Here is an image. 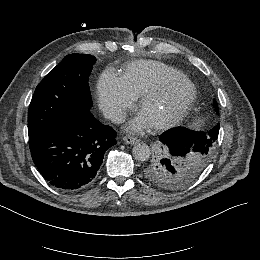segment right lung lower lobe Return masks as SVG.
Returning a JSON list of instances; mask_svg holds the SVG:
<instances>
[{"label":"right lung lower lobe","mask_w":260,"mask_h":260,"mask_svg":"<svg viewBox=\"0 0 260 260\" xmlns=\"http://www.w3.org/2000/svg\"><path fill=\"white\" fill-rule=\"evenodd\" d=\"M116 132L90 110L29 140L34 164L50 185L80 190L96 178L105 151L116 144Z\"/></svg>","instance_id":"obj_1"}]
</instances>
